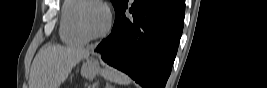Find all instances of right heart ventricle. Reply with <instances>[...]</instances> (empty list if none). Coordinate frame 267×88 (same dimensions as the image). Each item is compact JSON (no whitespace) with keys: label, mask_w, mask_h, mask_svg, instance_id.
<instances>
[{"label":"right heart ventricle","mask_w":267,"mask_h":88,"mask_svg":"<svg viewBox=\"0 0 267 88\" xmlns=\"http://www.w3.org/2000/svg\"><path fill=\"white\" fill-rule=\"evenodd\" d=\"M85 1L88 0H67L63 3L60 36L68 45L81 46L88 41L81 35L76 21L78 7Z\"/></svg>","instance_id":"right-heart-ventricle-1"}]
</instances>
